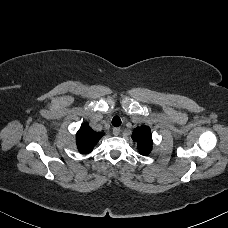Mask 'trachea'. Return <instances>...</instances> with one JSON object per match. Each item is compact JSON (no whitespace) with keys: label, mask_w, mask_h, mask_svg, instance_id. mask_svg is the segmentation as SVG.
<instances>
[{"label":"trachea","mask_w":228,"mask_h":228,"mask_svg":"<svg viewBox=\"0 0 228 228\" xmlns=\"http://www.w3.org/2000/svg\"><path fill=\"white\" fill-rule=\"evenodd\" d=\"M112 125L114 127H119L121 125V118L119 116H114L112 119Z\"/></svg>","instance_id":"3493384b"}]
</instances>
